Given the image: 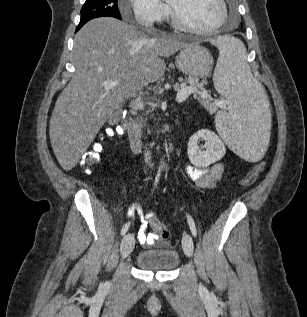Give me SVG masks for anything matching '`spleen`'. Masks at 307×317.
Masks as SVG:
<instances>
[{"label": "spleen", "instance_id": "obj_1", "mask_svg": "<svg viewBox=\"0 0 307 317\" xmlns=\"http://www.w3.org/2000/svg\"><path fill=\"white\" fill-rule=\"evenodd\" d=\"M209 47H217L219 58L213 74L214 87L223 94L232 114L221 112L216 129L241 160H261L271 139L270 101L265 86L259 84L246 62V49L228 33L209 37Z\"/></svg>", "mask_w": 307, "mask_h": 317}]
</instances>
